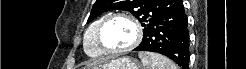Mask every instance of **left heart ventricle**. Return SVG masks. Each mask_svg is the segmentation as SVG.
Listing matches in <instances>:
<instances>
[{
  "instance_id": "1",
  "label": "left heart ventricle",
  "mask_w": 246,
  "mask_h": 69,
  "mask_svg": "<svg viewBox=\"0 0 246 69\" xmlns=\"http://www.w3.org/2000/svg\"><path fill=\"white\" fill-rule=\"evenodd\" d=\"M101 37L103 43L109 48L120 49L133 42L135 30L128 20L116 18L104 29Z\"/></svg>"
}]
</instances>
